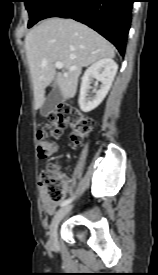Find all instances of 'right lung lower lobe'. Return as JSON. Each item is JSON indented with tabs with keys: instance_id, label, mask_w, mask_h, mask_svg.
<instances>
[{
	"instance_id": "1",
	"label": "right lung lower lobe",
	"mask_w": 158,
	"mask_h": 275,
	"mask_svg": "<svg viewBox=\"0 0 158 275\" xmlns=\"http://www.w3.org/2000/svg\"><path fill=\"white\" fill-rule=\"evenodd\" d=\"M134 0H57L44 14L72 18L91 27L115 45L123 56ZM41 19V20H42Z\"/></svg>"
}]
</instances>
